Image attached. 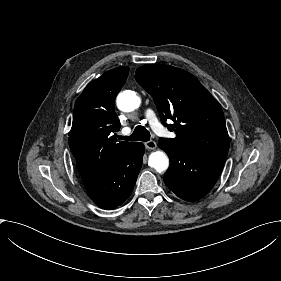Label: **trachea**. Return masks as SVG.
Returning <instances> with one entry per match:
<instances>
[{"instance_id":"obj_1","label":"trachea","mask_w":281,"mask_h":281,"mask_svg":"<svg viewBox=\"0 0 281 281\" xmlns=\"http://www.w3.org/2000/svg\"><path fill=\"white\" fill-rule=\"evenodd\" d=\"M119 140H126V141H149L150 139V133L149 131L141 125H138L135 130L133 131L132 135L130 136H118Z\"/></svg>"}]
</instances>
